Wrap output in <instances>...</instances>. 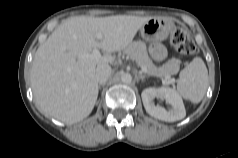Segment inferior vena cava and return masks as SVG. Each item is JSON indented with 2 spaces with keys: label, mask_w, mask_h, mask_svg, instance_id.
I'll return each mask as SVG.
<instances>
[{
  "label": "inferior vena cava",
  "mask_w": 238,
  "mask_h": 158,
  "mask_svg": "<svg viewBox=\"0 0 238 158\" xmlns=\"http://www.w3.org/2000/svg\"><path fill=\"white\" fill-rule=\"evenodd\" d=\"M112 73L109 64H98L96 68V79L100 84H105Z\"/></svg>",
  "instance_id": "inferior-vena-cava-1"
}]
</instances>
